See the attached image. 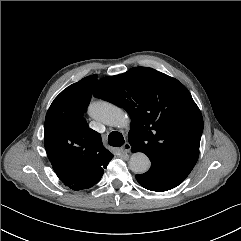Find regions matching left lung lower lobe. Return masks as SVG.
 <instances>
[{
    "label": "left lung lower lobe",
    "instance_id": "1",
    "mask_svg": "<svg viewBox=\"0 0 241 241\" xmlns=\"http://www.w3.org/2000/svg\"><path fill=\"white\" fill-rule=\"evenodd\" d=\"M188 174L151 163L148 172L136 175V179L141 186L151 191H167L178 186Z\"/></svg>",
    "mask_w": 241,
    "mask_h": 241
}]
</instances>
